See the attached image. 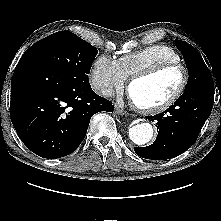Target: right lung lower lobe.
<instances>
[{
  "mask_svg": "<svg viewBox=\"0 0 221 221\" xmlns=\"http://www.w3.org/2000/svg\"><path fill=\"white\" fill-rule=\"evenodd\" d=\"M114 105L89 82L31 58H21L11 81L10 116L21 141L35 154L56 159L75 151L91 117Z\"/></svg>",
  "mask_w": 221,
  "mask_h": 221,
  "instance_id": "98d812e1",
  "label": "right lung lower lobe"
}]
</instances>
